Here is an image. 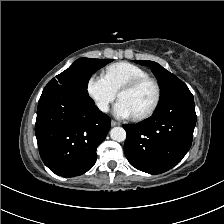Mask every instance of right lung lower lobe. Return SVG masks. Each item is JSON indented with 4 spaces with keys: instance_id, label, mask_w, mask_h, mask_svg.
Here are the masks:
<instances>
[{
    "instance_id": "1",
    "label": "right lung lower lobe",
    "mask_w": 224,
    "mask_h": 224,
    "mask_svg": "<svg viewBox=\"0 0 224 224\" xmlns=\"http://www.w3.org/2000/svg\"><path fill=\"white\" fill-rule=\"evenodd\" d=\"M110 118L89 96L46 86L38 102L35 134L44 164L63 177L78 176L96 162Z\"/></svg>"
}]
</instances>
